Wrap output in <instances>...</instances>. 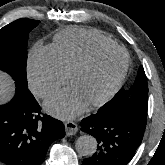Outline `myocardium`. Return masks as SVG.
<instances>
[{
    "label": "myocardium",
    "mask_w": 165,
    "mask_h": 165,
    "mask_svg": "<svg viewBox=\"0 0 165 165\" xmlns=\"http://www.w3.org/2000/svg\"><path fill=\"white\" fill-rule=\"evenodd\" d=\"M107 51H119L124 55V66L118 75V77L115 79V81L112 83V85L109 87V89L98 99L91 101L88 103L89 106L97 107L102 106L105 103H107L121 88L122 84L124 83V80L126 78V75L128 73V69L130 66V57L128 52L121 46L117 44L112 45H104V46H97L93 48L83 59H81L70 71L69 78L70 82L73 84L75 77L88 68L94 60L97 58L98 55H100L103 52Z\"/></svg>",
    "instance_id": "obj_1"
}]
</instances>
